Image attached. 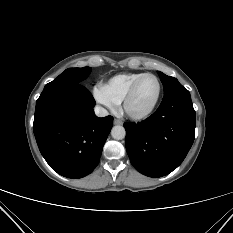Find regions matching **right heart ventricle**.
<instances>
[{"instance_id": "right-heart-ventricle-1", "label": "right heart ventricle", "mask_w": 233, "mask_h": 233, "mask_svg": "<svg viewBox=\"0 0 233 233\" xmlns=\"http://www.w3.org/2000/svg\"><path fill=\"white\" fill-rule=\"evenodd\" d=\"M143 74L145 73L136 72L115 75L109 79L106 87L108 88L113 98L119 103L123 101L132 84Z\"/></svg>"}]
</instances>
